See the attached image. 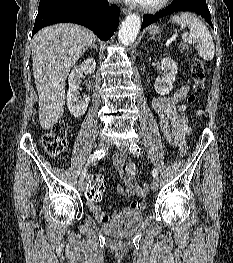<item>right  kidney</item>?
Segmentation results:
<instances>
[{
	"mask_svg": "<svg viewBox=\"0 0 233 263\" xmlns=\"http://www.w3.org/2000/svg\"><path fill=\"white\" fill-rule=\"evenodd\" d=\"M96 62L93 58H88L79 66H75L68 79L69 89L67 91V106L70 113L78 118L83 115L88 107L90 96H80L79 88L83 72L94 73Z\"/></svg>",
	"mask_w": 233,
	"mask_h": 263,
	"instance_id": "obj_1",
	"label": "right kidney"
}]
</instances>
